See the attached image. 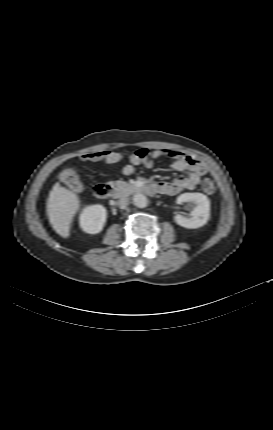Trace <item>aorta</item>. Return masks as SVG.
I'll use <instances>...</instances> for the list:
<instances>
[{
	"label": "aorta",
	"instance_id": "aorta-1",
	"mask_svg": "<svg viewBox=\"0 0 273 430\" xmlns=\"http://www.w3.org/2000/svg\"><path fill=\"white\" fill-rule=\"evenodd\" d=\"M133 203L139 208H145L148 205V199L143 194H135L133 196Z\"/></svg>",
	"mask_w": 273,
	"mask_h": 430
}]
</instances>
